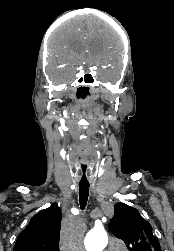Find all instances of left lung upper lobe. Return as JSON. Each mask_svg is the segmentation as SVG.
Here are the masks:
<instances>
[{"instance_id":"left-lung-upper-lobe-1","label":"left lung upper lobe","mask_w":174,"mask_h":251,"mask_svg":"<svg viewBox=\"0 0 174 251\" xmlns=\"http://www.w3.org/2000/svg\"><path fill=\"white\" fill-rule=\"evenodd\" d=\"M109 230L124 241L129 251H161L149 222L135 208L124 203L114 205V216Z\"/></svg>"}]
</instances>
